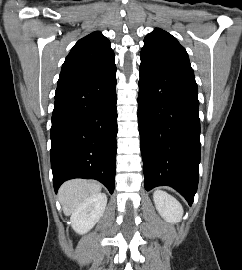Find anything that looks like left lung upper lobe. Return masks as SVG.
Here are the masks:
<instances>
[{
  "instance_id": "left-lung-upper-lobe-1",
  "label": "left lung upper lobe",
  "mask_w": 242,
  "mask_h": 270,
  "mask_svg": "<svg viewBox=\"0 0 242 270\" xmlns=\"http://www.w3.org/2000/svg\"><path fill=\"white\" fill-rule=\"evenodd\" d=\"M140 58L144 63L168 67L194 76L185 48L175 37L162 29L156 28L145 37Z\"/></svg>"
}]
</instances>
